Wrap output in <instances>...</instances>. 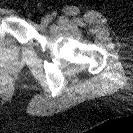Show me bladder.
I'll use <instances>...</instances> for the list:
<instances>
[{
  "mask_svg": "<svg viewBox=\"0 0 133 133\" xmlns=\"http://www.w3.org/2000/svg\"><path fill=\"white\" fill-rule=\"evenodd\" d=\"M0 52L9 58L17 57L20 53L18 46L6 39L0 40Z\"/></svg>",
  "mask_w": 133,
  "mask_h": 133,
  "instance_id": "1",
  "label": "bladder"
}]
</instances>
